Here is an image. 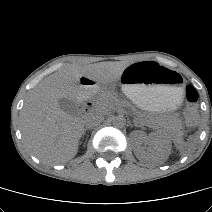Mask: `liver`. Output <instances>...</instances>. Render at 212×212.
Masks as SVG:
<instances>
[{
	"instance_id": "liver-1",
	"label": "liver",
	"mask_w": 212,
	"mask_h": 212,
	"mask_svg": "<svg viewBox=\"0 0 212 212\" xmlns=\"http://www.w3.org/2000/svg\"><path fill=\"white\" fill-rule=\"evenodd\" d=\"M128 65L125 62L68 65L42 80L21 111L22 137L31 154L49 165L71 160L78 151L84 119L64 112L58 100H76L83 89L79 85L81 77L99 85L112 84Z\"/></svg>"
}]
</instances>
